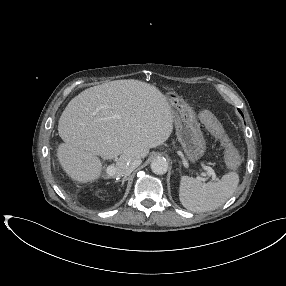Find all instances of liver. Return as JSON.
Segmentation results:
<instances>
[{"instance_id": "obj_1", "label": "liver", "mask_w": 286, "mask_h": 286, "mask_svg": "<svg viewBox=\"0 0 286 286\" xmlns=\"http://www.w3.org/2000/svg\"><path fill=\"white\" fill-rule=\"evenodd\" d=\"M173 117L167 96L156 86L134 79L115 80L82 91L66 106L58 121L64 143L57 158L74 181L97 180L102 162L116 161L119 177L128 159L145 158L170 137Z\"/></svg>"}]
</instances>
